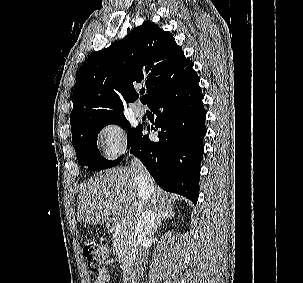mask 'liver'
Returning <instances> with one entry per match:
<instances>
[{
  "instance_id": "obj_1",
  "label": "liver",
  "mask_w": 303,
  "mask_h": 283,
  "mask_svg": "<svg viewBox=\"0 0 303 283\" xmlns=\"http://www.w3.org/2000/svg\"><path fill=\"white\" fill-rule=\"evenodd\" d=\"M136 173L129 167L112 168L88 180L79 195L77 220L89 224H102L109 220L110 212L120 209L131 226L138 218V186ZM157 210L172 209L171 194L154 186ZM129 225V226H130Z\"/></svg>"
}]
</instances>
